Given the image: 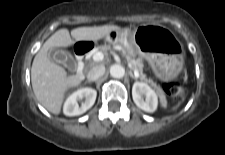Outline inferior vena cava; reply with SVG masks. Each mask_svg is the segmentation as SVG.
Instances as JSON below:
<instances>
[{"label": "inferior vena cava", "mask_w": 225, "mask_h": 155, "mask_svg": "<svg viewBox=\"0 0 225 155\" xmlns=\"http://www.w3.org/2000/svg\"><path fill=\"white\" fill-rule=\"evenodd\" d=\"M105 73V66L104 65H97L91 68L87 74L88 81H95L103 76Z\"/></svg>", "instance_id": "obj_1"}]
</instances>
